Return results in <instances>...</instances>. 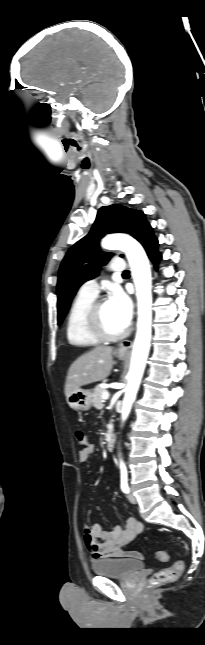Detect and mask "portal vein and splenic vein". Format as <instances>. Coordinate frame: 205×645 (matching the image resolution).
I'll list each match as a JSON object with an SVG mask.
<instances>
[{
    "mask_svg": "<svg viewBox=\"0 0 205 645\" xmlns=\"http://www.w3.org/2000/svg\"><path fill=\"white\" fill-rule=\"evenodd\" d=\"M108 398H109V393H108V392H106V391H105V392H103V394H102V399H103V400H107Z\"/></svg>",
    "mask_w": 205,
    "mask_h": 645,
    "instance_id": "18ae733b",
    "label": "portal vein and splenic vein"
}]
</instances>
